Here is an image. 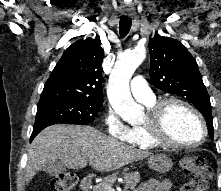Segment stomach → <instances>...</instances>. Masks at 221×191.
I'll list each match as a JSON object with an SVG mask.
<instances>
[{"label":"stomach","instance_id":"stomach-1","mask_svg":"<svg viewBox=\"0 0 221 191\" xmlns=\"http://www.w3.org/2000/svg\"><path fill=\"white\" fill-rule=\"evenodd\" d=\"M148 165L154 171L165 173L171 169L173 163L165 154H156L150 156L148 159Z\"/></svg>","mask_w":221,"mask_h":191}]
</instances>
